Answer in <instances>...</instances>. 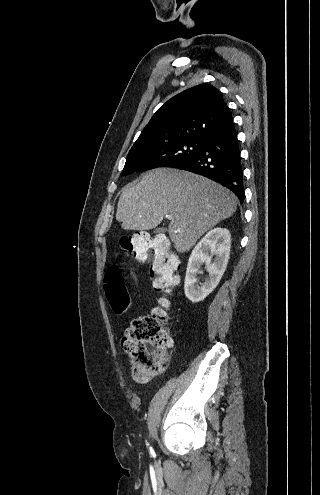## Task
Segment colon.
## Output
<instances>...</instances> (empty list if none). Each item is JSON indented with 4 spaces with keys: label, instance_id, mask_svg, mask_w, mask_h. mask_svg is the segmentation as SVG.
Here are the masks:
<instances>
[{
    "label": "colon",
    "instance_id": "1",
    "mask_svg": "<svg viewBox=\"0 0 320 495\" xmlns=\"http://www.w3.org/2000/svg\"><path fill=\"white\" fill-rule=\"evenodd\" d=\"M120 247L134 260L150 263L152 283L157 291L169 292L178 282V261L165 237L136 232L123 236ZM103 286L113 311L125 313L130 306V297L117 265L108 268ZM163 305H167V301H163ZM165 317V311L157 308L150 315L136 318L121 339L122 348L130 358L133 379L138 383L148 381L168 365L170 342L163 326Z\"/></svg>",
    "mask_w": 320,
    "mask_h": 495
}]
</instances>
